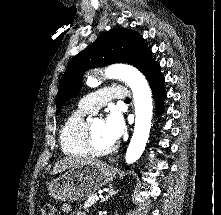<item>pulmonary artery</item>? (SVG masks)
I'll return each mask as SVG.
<instances>
[{
    "label": "pulmonary artery",
    "mask_w": 221,
    "mask_h": 215,
    "mask_svg": "<svg viewBox=\"0 0 221 215\" xmlns=\"http://www.w3.org/2000/svg\"><path fill=\"white\" fill-rule=\"evenodd\" d=\"M127 90L121 86L105 87L81 99L79 106L89 112H96L112 99H126Z\"/></svg>",
    "instance_id": "e3ab8cb5"
}]
</instances>
